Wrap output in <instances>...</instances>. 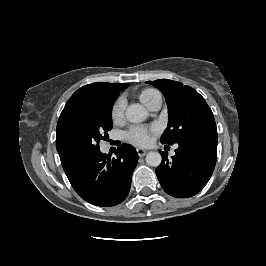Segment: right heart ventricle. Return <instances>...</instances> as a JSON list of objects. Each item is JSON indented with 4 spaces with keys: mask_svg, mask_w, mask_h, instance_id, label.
Listing matches in <instances>:
<instances>
[{
    "mask_svg": "<svg viewBox=\"0 0 266 266\" xmlns=\"http://www.w3.org/2000/svg\"><path fill=\"white\" fill-rule=\"evenodd\" d=\"M140 101L148 108L158 98L161 97L160 93L152 88L142 90L138 95Z\"/></svg>",
    "mask_w": 266,
    "mask_h": 266,
    "instance_id": "e07e8e85",
    "label": "right heart ventricle"
}]
</instances>
